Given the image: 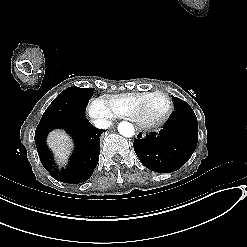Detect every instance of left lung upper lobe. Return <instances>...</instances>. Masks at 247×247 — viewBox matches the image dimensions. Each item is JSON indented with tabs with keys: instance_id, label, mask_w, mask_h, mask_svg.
<instances>
[{
	"instance_id": "left-lung-upper-lobe-1",
	"label": "left lung upper lobe",
	"mask_w": 247,
	"mask_h": 247,
	"mask_svg": "<svg viewBox=\"0 0 247 247\" xmlns=\"http://www.w3.org/2000/svg\"><path fill=\"white\" fill-rule=\"evenodd\" d=\"M172 99L174 101V108L175 110H180V109H185V108H191L189 104H187L185 101L177 98V97H173Z\"/></svg>"
}]
</instances>
